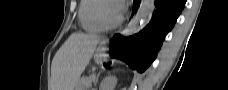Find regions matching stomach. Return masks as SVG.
<instances>
[{
  "label": "stomach",
  "instance_id": "1",
  "mask_svg": "<svg viewBox=\"0 0 228 90\" xmlns=\"http://www.w3.org/2000/svg\"><path fill=\"white\" fill-rule=\"evenodd\" d=\"M103 50H104V46H103V43H102L99 52L101 53V52H103ZM95 60H96V62H101L102 57L96 56Z\"/></svg>",
  "mask_w": 228,
  "mask_h": 90
}]
</instances>
